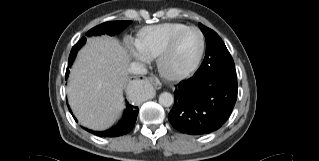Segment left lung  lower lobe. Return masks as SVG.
<instances>
[{
	"mask_svg": "<svg viewBox=\"0 0 319 161\" xmlns=\"http://www.w3.org/2000/svg\"><path fill=\"white\" fill-rule=\"evenodd\" d=\"M237 92L236 77L221 73L193 76L178 84L168 119L181 133H211L230 116Z\"/></svg>",
	"mask_w": 319,
	"mask_h": 161,
	"instance_id": "obj_1",
	"label": "left lung lower lobe"
}]
</instances>
